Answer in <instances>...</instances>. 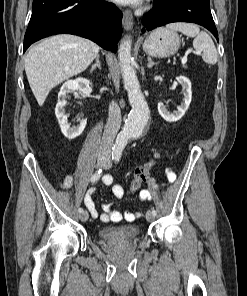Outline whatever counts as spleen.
<instances>
[{"label": "spleen", "instance_id": "obj_1", "mask_svg": "<svg viewBox=\"0 0 247 296\" xmlns=\"http://www.w3.org/2000/svg\"><path fill=\"white\" fill-rule=\"evenodd\" d=\"M167 29L179 31L189 37H194L193 47L195 50L203 53V61L209 65H215L218 60V54L211 37L199 27L192 23H171L166 26Z\"/></svg>", "mask_w": 247, "mask_h": 296}]
</instances>
